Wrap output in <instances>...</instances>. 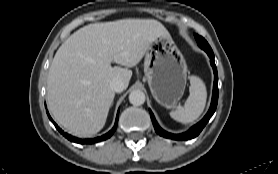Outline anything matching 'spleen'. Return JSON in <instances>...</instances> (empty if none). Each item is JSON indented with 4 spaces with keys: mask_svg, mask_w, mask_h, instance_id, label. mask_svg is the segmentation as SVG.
<instances>
[{
    "mask_svg": "<svg viewBox=\"0 0 278 174\" xmlns=\"http://www.w3.org/2000/svg\"><path fill=\"white\" fill-rule=\"evenodd\" d=\"M189 97L183 107L170 112L174 120L188 124L194 122L202 114L206 99L207 91L204 82L198 76L190 77Z\"/></svg>",
    "mask_w": 278,
    "mask_h": 174,
    "instance_id": "obj_1",
    "label": "spleen"
}]
</instances>
